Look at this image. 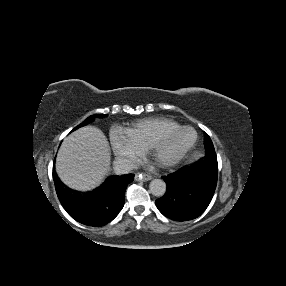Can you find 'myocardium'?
<instances>
[{
    "label": "myocardium",
    "mask_w": 286,
    "mask_h": 286,
    "mask_svg": "<svg viewBox=\"0 0 286 286\" xmlns=\"http://www.w3.org/2000/svg\"><path fill=\"white\" fill-rule=\"evenodd\" d=\"M186 130H191L194 132V140L193 142L181 151L179 154L171 157L163 156L164 149L182 132ZM198 143V133L191 126H181L179 129L169 133L168 135L157 139L152 144L149 145L148 152L149 154L157 161V163L165 168L175 167L185 161L191 153L195 150Z\"/></svg>",
    "instance_id": "1"
}]
</instances>
